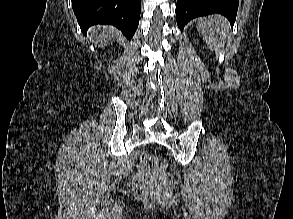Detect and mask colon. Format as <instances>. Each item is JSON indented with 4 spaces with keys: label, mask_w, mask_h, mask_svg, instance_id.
I'll return each instance as SVG.
<instances>
[{
    "label": "colon",
    "mask_w": 293,
    "mask_h": 219,
    "mask_svg": "<svg viewBox=\"0 0 293 219\" xmlns=\"http://www.w3.org/2000/svg\"><path fill=\"white\" fill-rule=\"evenodd\" d=\"M140 165L147 170H164L167 168L168 162L145 152L140 155ZM133 194L137 199L144 200L152 194V190L144 182H135Z\"/></svg>",
    "instance_id": "obj_1"
}]
</instances>
